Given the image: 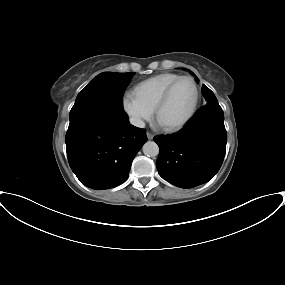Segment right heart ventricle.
Listing matches in <instances>:
<instances>
[{
    "label": "right heart ventricle",
    "instance_id": "e07e8e85",
    "mask_svg": "<svg viewBox=\"0 0 285 285\" xmlns=\"http://www.w3.org/2000/svg\"><path fill=\"white\" fill-rule=\"evenodd\" d=\"M179 76L177 73L167 72L150 77L134 87V95L141 103L154 110L164 90Z\"/></svg>",
    "mask_w": 285,
    "mask_h": 285
}]
</instances>
